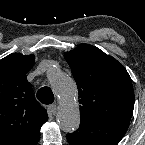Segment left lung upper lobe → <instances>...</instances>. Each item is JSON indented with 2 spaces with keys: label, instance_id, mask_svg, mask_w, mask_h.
<instances>
[{
  "label": "left lung upper lobe",
  "instance_id": "1",
  "mask_svg": "<svg viewBox=\"0 0 145 145\" xmlns=\"http://www.w3.org/2000/svg\"><path fill=\"white\" fill-rule=\"evenodd\" d=\"M65 59L78 87L81 120L130 122L135 97L122 64L89 44L65 53Z\"/></svg>",
  "mask_w": 145,
  "mask_h": 145
}]
</instances>
